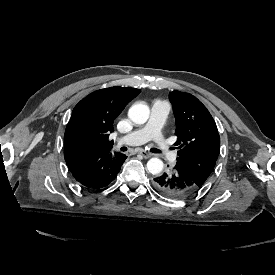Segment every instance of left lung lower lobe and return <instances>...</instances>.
Listing matches in <instances>:
<instances>
[{"label":"left lung lower lobe","instance_id":"1","mask_svg":"<svg viewBox=\"0 0 275 275\" xmlns=\"http://www.w3.org/2000/svg\"><path fill=\"white\" fill-rule=\"evenodd\" d=\"M153 186L164 196L174 199L189 197L200 188L177 166L172 171L154 178Z\"/></svg>","mask_w":275,"mask_h":275}]
</instances>
